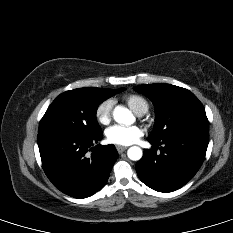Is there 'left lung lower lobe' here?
Segmentation results:
<instances>
[{
	"instance_id": "0a47b994",
	"label": "left lung lower lobe",
	"mask_w": 233,
	"mask_h": 233,
	"mask_svg": "<svg viewBox=\"0 0 233 233\" xmlns=\"http://www.w3.org/2000/svg\"><path fill=\"white\" fill-rule=\"evenodd\" d=\"M148 141L155 146L144 151L136 171L148 187L165 193L181 188L197 173L206 155L209 134L193 132Z\"/></svg>"
}]
</instances>
